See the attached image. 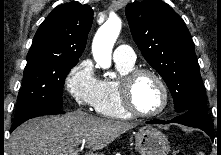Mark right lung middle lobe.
<instances>
[{"instance_id":"right-lung-middle-lobe-1","label":"right lung middle lobe","mask_w":221,"mask_h":155,"mask_svg":"<svg viewBox=\"0 0 221 155\" xmlns=\"http://www.w3.org/2000/svg\"><path fill=\"white\" fill-rule=\"evenodd\" d=\"M76 64L77 62L57 59H28L14 122L22 121L44 109L61 108L65 78Z\"/></svg>"}]
</instances>
